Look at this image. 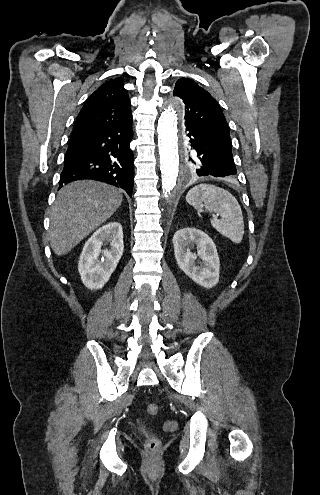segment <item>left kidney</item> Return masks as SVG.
<instances>
[{
  "label": "left kidney",
  "mask_w": 320,
  "mask_h": 495,
  "mask_svg": "<svg viewBox=\"0 0 320 495\" xmlns=\"http://www.w3.org/2000/svg\"><path fill=\"white\" fill-rule=\"evenodd\" d=\"M197 246V253L191 252V247ZM174 254L178 266L194 282L212 288L219 281L220 261L216 246L212 239L195 228H184L173 236ZM202 262L197 265L196 259Z\"/></svg>",
  "instance_id": "left-kidney-1"
}]
</instances>
